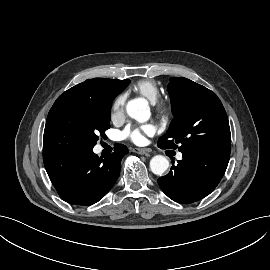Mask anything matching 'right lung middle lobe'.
<instances>
[{
  "label": "right lung middle lobe",
  "instance_id": "dd1d6c3e",
  "mask_svg": "<svg viewBox=\"0 0 270 270\" xmlns=\"http://www.w3.org/2000/svg\"><path fill=\"white\" fill-rule=\"evenodd\" d=\"M111 103L112 100H85L52 106L46 120L43 151L91 150L98 136H105L110 128Z\"/></svg>",
  "mask_w": 270,
  "mask_h": 270
}]
</instances>
